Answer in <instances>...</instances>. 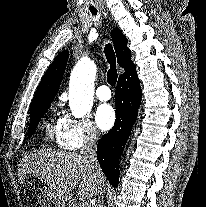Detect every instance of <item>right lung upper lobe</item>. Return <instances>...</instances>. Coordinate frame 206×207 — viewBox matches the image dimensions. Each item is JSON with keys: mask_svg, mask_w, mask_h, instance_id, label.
<instances>
[{"mask_svg": "<svg viewBox=\"0 0 206 207\" xmlns=\"http://www.w3.org/2000/svg\"><path fill=\"white\" fill-rule=\"evenodd\" d=\"M111 37L118 64L125 69V74L135 66L131 61V52L127 48V39L118 28L112 30ZM68 57L69 52L63 51L49 66L37 88L30 110L41 105L50 104L54 100L66 69Z\"/></svg>", "mask_w": 206, "mask_h": 207, "instance_id": "obj_1", "label": "right lung upper lobe"}]
</instances>
